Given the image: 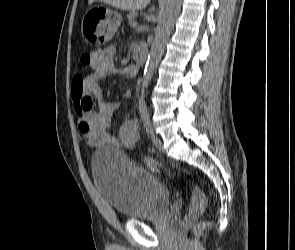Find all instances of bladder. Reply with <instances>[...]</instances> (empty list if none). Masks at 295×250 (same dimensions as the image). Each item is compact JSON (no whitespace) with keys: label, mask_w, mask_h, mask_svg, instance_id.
<instances>
[{"label":"bladder","mask_w":295,"mask_h":250,"mask_svg":"<svg viewBox=\"0 0 295 250\" xmlns=\"http://www.w3.org/2000/svg\"><path fill=\"white\" fill-rule=\"evenodd\" d=\"M95 186L103 199L130 220L159 219L171 201L169 189L133 165L122 151L105 147L91 157Z\"/></svg>","instance_id":"1"}]
</instances>
